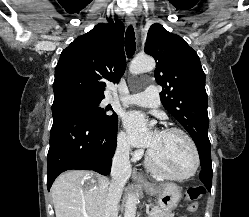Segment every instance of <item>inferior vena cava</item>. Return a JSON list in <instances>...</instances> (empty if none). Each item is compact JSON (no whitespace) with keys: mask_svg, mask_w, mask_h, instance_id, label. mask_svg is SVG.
I'll return each mask as SVG.
<instances>
[{"mask_svg":"<svg viewBox=\"0 0 249 217\" xmlns=\"http://www.w3.org/2000/svg\"><path fill=\"white\" fill-rule=\"evenodd\" d=\"M130 147L126 142L117 145L111 169V181L106 199L105 217H118V204L127 179L131 175Z\"/></svg>","mask_w":249,"mask_h":217,"instance_id":"obj_1","label":"inferior vena cava"}]
</instances>
